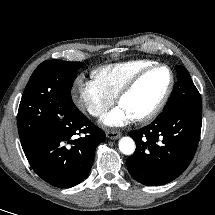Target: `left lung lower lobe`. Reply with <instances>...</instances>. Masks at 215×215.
<instances>
[{
    "mask_svg": "<svg viewBox=\"0 0 215 215\" xmlns=\"http://www.w3.org/2000/svg\"><path fill=\"white\" fill-rule=\"evenodd\" d=\"M202 111L164 110L150 125L129 132L136 151L127 160L129 173L144 185L171 182L188 167L200 139Z\"/></svg>",
    "mask_w": 215,
    "mask_h": 215,
    "instance_id": "left-lung-lower-lobe-1",
    "label": "left lung lower lobe"
}]
</instances>
